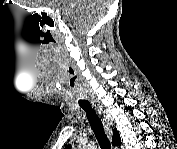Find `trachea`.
I'll list each match as a JSON object with an SVG mask.
<instances>
[{
	"label": "trachea",
	"mask_w": 177,
	"mask_h": 149,
	"mask_svg": "<svg viewBox=\"0 0 177 149\" xmlns=\"http://www.w3.org/2000/svg\"><path fill=\"white\" fill-rule=\"evenodd\" d=\"M79 106L86 111L87 119L93 129V132L99 142L101 149H111L110 142L105 134L103 124L98 115L94 112L90 103L78 102Z\"/></svg>",
	"instance_id": "3493384b"
}]
</instances>
